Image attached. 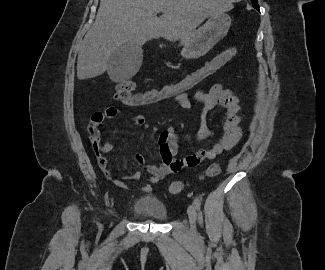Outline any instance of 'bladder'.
I'll return each instance as SVG.
<instances>
[{
    "mask_svg": "<svg viewBox=\"0 0 325 270\" xmlns=\"http://www.w3.org/2000/svg\"><path fill=\"white\" fill-rule=\"evenodd\" d=\"M133 211L146 218L158 221L167 220L169 213L163 201L155 195L138 197L132 207Z\"/></svg>",
    "mask_w": 325,
    "mask_h": 270,
    "instance_id": "31cf9c89",
    "label": "bladder"
}]
</instances>
